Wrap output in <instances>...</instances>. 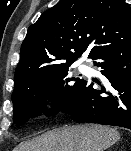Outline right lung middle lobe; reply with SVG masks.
I'll list each match as a JSON object with an SVG mask.
<instances>
[{
	"label": "right lung middle lobe",
	"instance_id": "1",
	"mask_svg": "<svg viewBox=\"0 0 131 151\" xmlns=\"http://www.w3.org/2000/svg\"><path fill=\"white\" fill-rule=\"evenodd\" d=\"M69 67L45 73L14 89L11 98L14 106L13 120L17 126L25 123L29 117L38 115L47 99L53 100L52 115L61 111L71 100L83 79L69 77Z\"/></svg>",
	"mask_w": 131,
	"mask_h": 151
}]
</instances>
